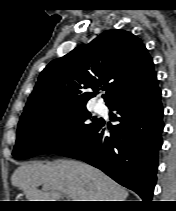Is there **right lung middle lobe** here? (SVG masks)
<instances>
[{"label":"right lung middle lobe","instance_id":"right-lung-middle-lobe-1","mask_svg":"<svg viewBox=\"0 0 176 211\" xmlns=\"http://www.w3.org/2000/svg\"><path fill=\"white\" fill-rule=\"evenodd\" d=\"M100 122L91 116L86 106L51 109L22 118L13 156L30 158L61 152L81 142Z\"/></svg>","mask_w":176,"mask_h":211}]
</instances>
